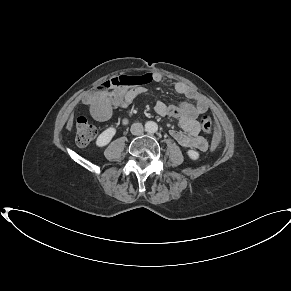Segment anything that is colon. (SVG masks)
<instances>
[{"instance_id":"obj_1","label":"colon","mask_w":291,"mask_h":291,"mask_svg":"<svg viewBox=\"0 0 291 291\" xmlns=\"http://www.w3.org/2000/svg\"><path fill=\"white\" fill-rule=\"evenodd\" d=\"M139 81L138 78L132 76L121 75L111 78L98 84L95 88L94 93L101 97L107 90L112 88H126L134 85ZM200 124L203 131L207 134H215L216 132V122L211 115H203L200 118ZM76 129V141L79 145H86L91 142L95 135L96 130L93 125H91L85 116H78L75 121ZM217 144V138L214 137L213 147Z\"/></svg>"}]
</instances>
